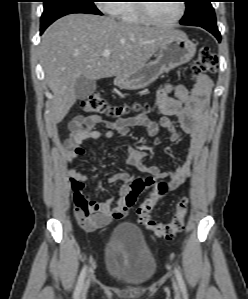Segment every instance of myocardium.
I'll return each mask as SVG.
<instances>
[{"label":"myocardium","instance_id":"1","mask_svg":"<svg viewBox=\"0 0 248 299\" xmlns=\"http://www.w3.org/2000/svg\"><path fill=\"white\" fill-rule=\"evenodd\" d=\"M145 2H149V1H145ZM178 2H179V13H178V15L175 18H173L171 20H167V21H162V20L158 19L157 17H155L151 13L150 3H140L138 5V10L141 13V15L143 16V18L148 23L159 25V26H171V25H174V24L178 23L184 17V14L186 12L185 1L178 0Z\"/></svg>","mask_w":248,"mask_h":299}]
</instances>
